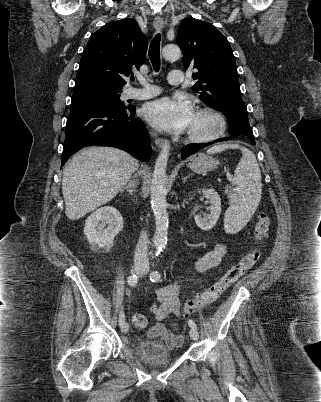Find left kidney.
<instances>
[{
  "label": "left kidney",
  "mask_w": 321,
  "mask_h": 402,
  "mask_svg": "<svg viewBox=\"0 0 321 402\" xmlns=\"http://www.w3.org/2000/svg\"><path fill=\"white\" fill-rule=\"evenodd\" d=\"M206 199L210 202L209 214L195 216V222L202 230H210L216 224L221 214V199L219 194L214 189L202 190Z\"/></svg>",
  "instance_id": "1"
}]
</instances>
